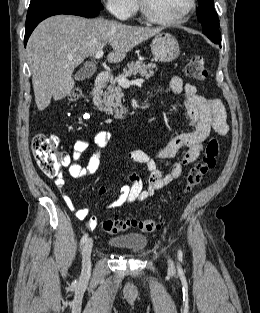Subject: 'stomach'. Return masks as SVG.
Returning a JSON list of instances; mask_svg holds the SVG:
<instances>
[{
  "mask_svg": "<svg viewBox=\"0 0 260 313\" xmlns=\"http://www.w3.org/2000/svg\"><path fill=\"white\" fill-rule=\"evenodd\" d=\"M151 52L156 60L171 62L180 54L178 41L169 33H159L152 40Z\"/></svg>",
  "mask_w": 260,
  "mask_h": 313,
  "instance_id": "0dacf381",
  "label": "stomach"
}]
</instances>
